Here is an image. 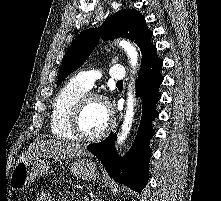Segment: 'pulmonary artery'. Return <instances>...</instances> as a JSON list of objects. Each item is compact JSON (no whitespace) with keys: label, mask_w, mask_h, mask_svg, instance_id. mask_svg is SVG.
<instances>
[{"label":"pulmonary artery","mask_w":221,"mask_h":201,"mask_svg":"<svg viewBox=\"0 0 221 201\" xmlns=\"http://www.w3.org/2000/svg\"><path fill=\"white\" fill-rule=\"evenodd\" d=\"M125 75V69L121 65H114L109 70L110 78L116 81H122L125 78ZM100 77L101 73L99 71H83L75 76L74 82L85 90H90L95 81L100 79Z\"/></svg>","instance_id":"obj_1"}]
</instances>
